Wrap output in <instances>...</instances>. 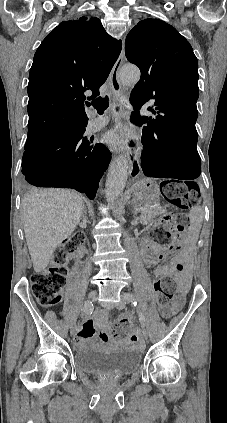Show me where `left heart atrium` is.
<instances>
[{
    "label": "left heart atrium",
    "instance_id": "1",
    "mask_svg": "<svg viewBox=\"0 0 227 423\" xmlns=\"http://www.w3.org/2000/svg\"><path fill=\"white\" fill-rule=\"evenodd\" d=\"M135 140V132L128 127L117 128L104 135V142L112 149L127 148Z\"/></svg>",
    "mask_w": 227,
    "mask_h": 423
}]
</instances>
